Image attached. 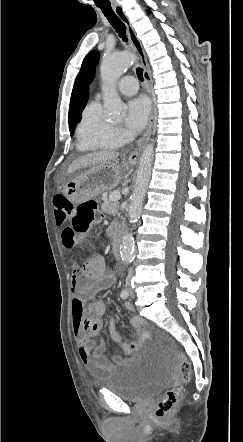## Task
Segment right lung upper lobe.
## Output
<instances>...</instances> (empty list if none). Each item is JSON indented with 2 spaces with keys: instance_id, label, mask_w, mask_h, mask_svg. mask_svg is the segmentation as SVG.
I'll use <instances>...</instances> for the list:
<instances>
[{
  "instance_id": "cb5924a9",
  "label": "right lung upper lobe",
  "mask_w": 243,
  "mask_h": 442,
  "mask_svg": "<svg viewBox=\"0 0 243 442\" xmlns=\"http://www.w3.org/2000/svg\"><path fill=\"white\" fill-rule=\"evenodd\" d=\"M83 80L80 76H78L75 80L71 100H70V106H69V127L76 126L77 120H76V114H77V107L80 102V95L83 90Z\"/></svg>"
}]
</instances>
